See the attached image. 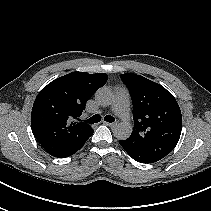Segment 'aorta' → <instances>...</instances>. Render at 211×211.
<instances>
[{
	"label": "aorta",
	"mask_w": 211,
	"mask_h": 211,
	"mask_svg": "<svg viewBox=\"0 0 211 211\" xmlns=\"http://www.w3.org/2000/svg\"><path fill=\"white\" fill-rule=\"evenodd\" d=\"M95 97L103 105H110L114 99L112 91L105 87L98 89ZM113 133L117 139L125 140L131 135L132 127L129 123L121 122L115 126Z\"/></svg>",
	"instance_id": "762f6f07"
}]
</instances>
